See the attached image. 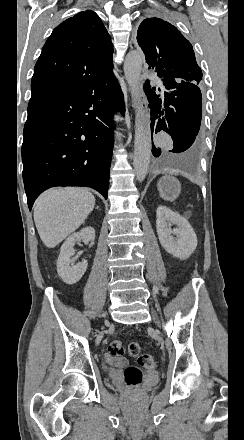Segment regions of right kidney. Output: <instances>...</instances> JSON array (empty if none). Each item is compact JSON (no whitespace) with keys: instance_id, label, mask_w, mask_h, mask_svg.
I'll return each instance as SVG.
<instances>
[{"instance_id":"ca27d5eb","label":"right kidney","mask_w":244,"mask_h":440,"mask_svg":"<svg viewBox=\"0 0 244 440\" xmlns=\"http://www.w3.org/2000/svg\"><path fill=\"white\" fill-rule=\"evenodd\" d=\"M80 240H90V242H93V240H95L94 228H83L80 232L71 234L66 242H64L63 246H61L59 258L57 260V272L58 276L62 278L65 284H76L86 272L88 266L87 260H82L77 266H73L70 260L71 256H74L75 254L73 246H75L77 242H80Z\"/></svg>"}]
</instances>
